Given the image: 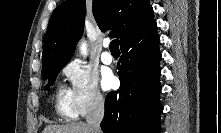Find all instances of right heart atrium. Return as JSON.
Wrapping results in <instances>:
<instances>
[{
  "mask_svg": "<svg viewBox=\"0 0 221 133\" xmlns=\"http://www.w3.org/2000/svg\"><path fill=\"white\" fill-rule=\"evenodd\" d=\"M63 74L70 83V97L77 115H86L103 108L105 97L95 71L79 60L66 64Z\"/></svg>",
  "mask_w": 221,
  "mask_h": 133,
  "instance_id": "d8ad5b80",
  "label": "right heart atrium"
}]
</instances>
